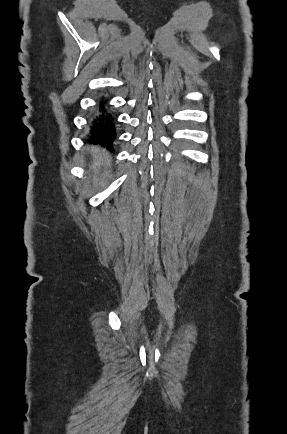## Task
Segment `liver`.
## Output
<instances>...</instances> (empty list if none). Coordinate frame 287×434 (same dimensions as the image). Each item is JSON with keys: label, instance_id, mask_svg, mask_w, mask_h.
<instances>
[{"label": "liver", "instance_id": "6515ba94", "mask_svg": "<svg viewBox=\"0 0 287 434\" xmlns=\"http://www.w3.org/2000/svg\"><path fill=\"white\" fill-rule=\"evenodd\" d=\"M93 162L91 169H96L101 167L108 159V154L105 152H100L99 149L93 148Z\"/></svg>", "mask_w": 287, "mask_h": 434}]
</instances>
